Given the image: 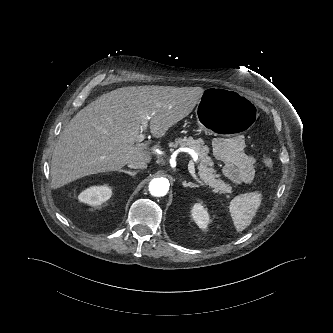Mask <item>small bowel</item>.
<instances>
[{
  "instance_id": "1",
  "label": "small bowel",
  "mask_w": 333,
  "mask_h": 333,
  "mask_svg": "<svg viewBox=\"0 0 333 333\" xmlns=\"http://www.w3.org/2000/svg\"><path fill=\"white\" fill-rule=\"evenodd\" d=\"M212 151L223 164L224 176L235 185L251 184L255 178L256 160L246 151L242 136L219 137L212 143Z\"/></svg>"
}]
</instances>
